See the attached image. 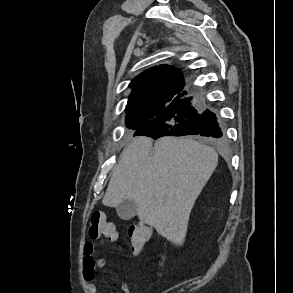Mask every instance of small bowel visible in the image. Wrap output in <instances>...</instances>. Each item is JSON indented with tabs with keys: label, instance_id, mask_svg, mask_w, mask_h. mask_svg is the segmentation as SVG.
<instances>
[{
	"label": "small bowel",
	"instance_id": "small-bowel-1",
	"mask_svg": "<svg viewBox=\"0 0 293 293\" xmlns=\"http://www.w3.org/2000/svg\"><path fill=\"white\" fill-rule=\"evenodd\" d=\"M106 261L103 257L94 256V244L91 241L84 243V255L82 258L83 274L85 277L86 288L89 293H97L98 288L95 283V270L105 266ZM121 293H130V289L126 284L119 286Z\"/></svg>",
	"mask_w": 293,
	"mask_h": 293
}]
</instances>
